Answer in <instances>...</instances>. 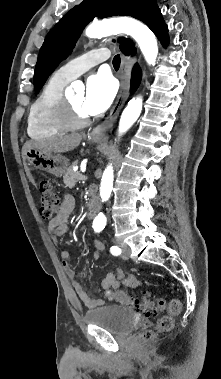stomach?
<instances>
[{
  "label": "stomach",
  "instance_id": "stomach-1",
  "mask_svg": "<svg viewBox=\"0 0 221 379\" xmlns=\"http://www.w3.org/2000/svg\"><path fill=\"white\" fill-rule=\"evenodd\" d=\"M90 139L95 142L100 140V138L96 137H91ZM26 158L28 164L33 168L46 171L57 177H61L68 169L69 163L67 158L60 155H53L40 150L30 149L26 152Z\"/></svg>",
  "mask_w": 221,
  "mask_h": 379
}]
</instances>
